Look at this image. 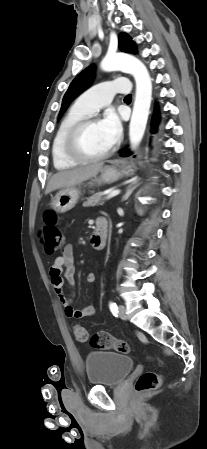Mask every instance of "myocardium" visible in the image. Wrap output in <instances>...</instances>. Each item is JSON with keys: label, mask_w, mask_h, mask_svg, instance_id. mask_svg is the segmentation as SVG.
Listing matches in <instances>:
<instances>
[{"label": "myocardium", "mask_w": 207, "mask_h": 449, "mask_svg": "<svg viewBox=\"0 0 207 449\" xmlns=\"http://www.w3.org/2000/svg\"><path fill=\"white\" fill-rule=\"evenodd\" d=\"M95 123H98L97 118L93 116H87L71 126V128L66 133L63 145L64 152L68 158L76 162H97L107 158L113 152V145L106 151L97 155L87 154L81 149L79 145V138L82 131L88 126Z\"/></svg>", "instance_id": "1"}]
</instances>
